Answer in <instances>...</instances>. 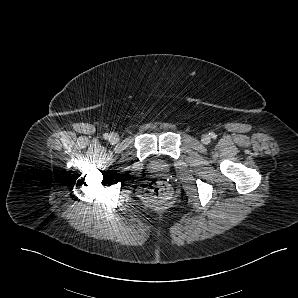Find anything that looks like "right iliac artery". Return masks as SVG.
Segmentation results:
<instances>
[{
    "instance_id": "right-iliac-artery-1",
    "label": "right iliac artery",
    "mask_w": 298,
    "mask_h": 298,
    "mask_svg": "<svg viewBox=\"0 0 298 298\" xmlns=\"http://www.w3.org/2000/svg\"><path fill=\"white\" fill-rule=\"evenodd\" d=\"M103 137H104V139H108L109 135H108L107 133H105V134L103 135Z\"/></svg>"
}]
</instances>
